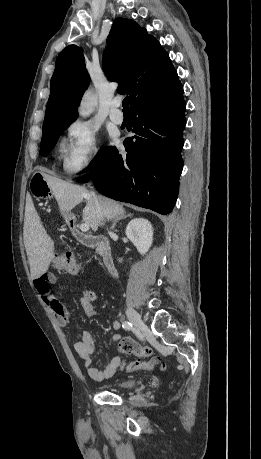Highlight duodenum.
I'll return each mask as SVG.
<instances>
[{"label": "duodenum", "mask_w": 261, "mask_h": 459, "mask_svg": "<svg viewBox=\"0 0 261 459\" xmlns=\"http://www.w3.org/2000/svg\"><path fill=\"white\" fill-rule=\"evenodd\" d=\"M71 231L74 238L82 245L87 247H96L100 252L103 263L107 270L113 275L117 273L111 246L105 237L82 233L73 224L71 225Z\"/></svg>", "instance_id": "duodenum-1"}]
</instances>
